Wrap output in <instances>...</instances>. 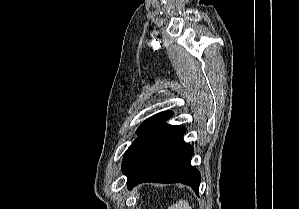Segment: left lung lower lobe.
<instances>
[{
  "label": "left lung lower lobe",
  "instance_id": "0a47b994",
  "mask_svg": "<svg viewBox=\"0 0 299 209\" xmlns=\"http://www.w3.org/2000/svg\"><path fill=\"white\" fill-rule=\"evenodd\" d=\"M173 115L166 111L142 123L124 154L122 172L128 189L142 182L183 183L198 194L200 172L190 165L193 147L183 140V126L164 124Z\"/></svg>",
  "mask_w": 299,
  "mask_h": 209
}]
</instances>
